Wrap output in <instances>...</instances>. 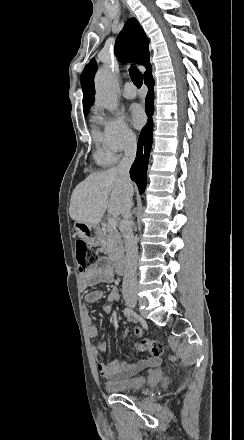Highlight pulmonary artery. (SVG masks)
Returning a JSON list of instances; mask_svg holds the SVG:
<instances>
[{
	"label": "pulmonary artery",
	"mask_w": 244,
	"mask_h": 440,
	"mask_svg": "<svg viewBox=\"0 0 244 440\" xmlns=\"http://www.w3.org/2000/svg\"><path fill=\"white\" fill-rule=\"evenodd\" d=\"M124 92L123 95L127 99H133L136 96V88L134 87L133 83L127 82L124 85Z\"/></svg>",
	"instance_id": "pulmonary-artery-1"
}]
</instances>
